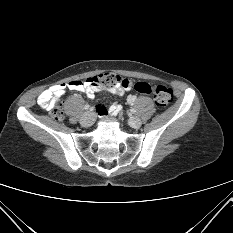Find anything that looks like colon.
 <instances>
[{"instance_id":"5ec220e1","label":"colon","mask_w":233,"mask_h":233,"mask_svg":"<svg viewBox=\"0 0 233 233\" xmlns=\"http://www.w3.org/2000/svg\"><path fill=\"white\" fill-rule=\"evenodd\" d=\"M87 80H92L93 84H97V86L103 88L118 85L124 88L133 87L138 93L151 95L154 98L156 105L161 108L168 106L173 100V91L167 86L150 85L146 82L133 83L127 79H122L119 75L112 72L98 74ZM50 116L55 120L62 119L63 113L57 108V104L50 110Z\"/></svg>"}]
</instances>
